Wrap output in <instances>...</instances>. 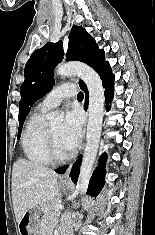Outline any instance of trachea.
<instances>
[{"label":"trachea","instance_id":"1","mask_svg":"<svg viewBox=\"0 0 155 235\" xmlns=\"http://www.w3.org/2000/svg\"><path fill=\"white\" fill-rule=\"evenodd\" d=\"M78 99L79 100H82L83 99V93L82 92H79L78 95H77Z\"/></svg>","mask_w":155,"mask_h":235}]
</instances>
